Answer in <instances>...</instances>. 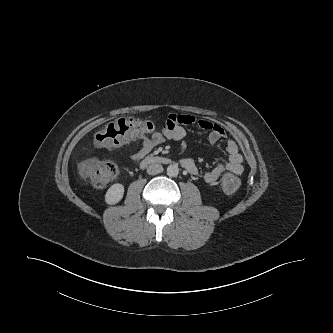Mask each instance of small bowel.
Returning <instances> with one entry per match:
<instances>
[{"label": "small bowel", "instance_id": "obj_1", "mask_svg": "<svg viewBox=\"0 0 333 333\" xmlns=\"http://www.w3.org/2000/svg\"><path fill=\"white\" fill-rule=\"evenodd\" d=\"M193 123L208 131V140L216 146L222 139H226V150L228 158L226 161L217 164L213 169L207 171L203 179L208 184H213L225 172H231L239 175L243 172L242 156L239 152L236 142L230 138H226L224 129L216 124L205 119H196L190 115L171 114L164 123V129L161 132H156L150 137L142 138V148L133 154V160L139 162L155 147L161 145L167 140L180 141L186 135L185 126ZM182 166L190 173H197V167L192 158H183Z\"/></svg>", "mask_w": 333, "mask_h": 333}]
</instances>
